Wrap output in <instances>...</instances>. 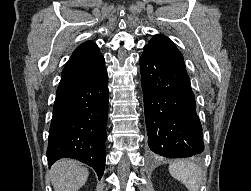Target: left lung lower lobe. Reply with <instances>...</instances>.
Wrapping results in <instances>:
<instances>
[{
	"label": "left lung lower lobe",
	"mask_w": 251,
	"mask_h": 191,
	"mask_svg": "<svg viewBox=\"0 0 251 191\" xmlns=\"http://www.w3.org/2000/svg\"><path fill=\"white\" fill-rule=\"evenodd\" d=\"M140 73L152 155L184 158L201 154L202 126L186 70L144 51Z\"/></svg>",
	"instance_id": "1"
}]
</instances>
